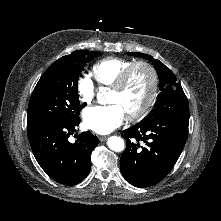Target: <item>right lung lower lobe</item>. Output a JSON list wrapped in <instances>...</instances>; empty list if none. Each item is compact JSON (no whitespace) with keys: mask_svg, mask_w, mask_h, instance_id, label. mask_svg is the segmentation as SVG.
Segmentation results:
<instances>
[{"mask_svg":"<svg viewBox=\"0 0 221 221\" xmlns=\"http://www.w3.org/2000/svg\"><path fill=\"white\" fill-rule=\"evenodd\" d=\"M78 120L55 119L27 126L33 154L41 168L53 180L63 185L81 182L91 168L90 152L99 139L89 131L77 135V141L68 138L76 132Z\"/></svg>","mask_w":221,"mask_h":221,"instance_id":"right-lung-lower-lobe-1","label":"right lung lower lobe"}]
</instances>
